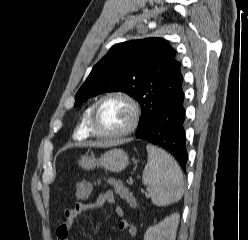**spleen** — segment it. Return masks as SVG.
<instances>
[{"mask_svg":"<svg viewBox=\"0 0 248 240\" xmlns=\"http://www.w3.org/2000/svg\"><path fill=\"white\" fill-rule=\"evenodd\" d=\"M148 161L143 172V184L147 186L152 203L167 206L179 201L184 193L183 173L166 151L148 144Z\"/></svg>","mask_w":248,"mask_h":240,"instance_id":"3e777b00","label":"spleen"}]
</instances>
